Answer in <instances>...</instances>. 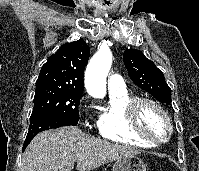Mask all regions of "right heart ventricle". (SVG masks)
<instances>
[{"mask_svg": "<svg viewBox=\"0 0 199 171\" xmlns=\"http://www.w3.org/2000/svg\"><path fill=\"white\" fill-rule=\"evenodd\" d=\"M134 99L135 97L126 88L110 91L109 103L98 116V133L106 140L122 144L155 147L154 143L137 136L132 131L128 117V106Z\"/></svg>", "mask_w": 199, "mask_h": 171, "instance_id": "e07e8e85", "label": "right heart ventricle"}]
</instances>
